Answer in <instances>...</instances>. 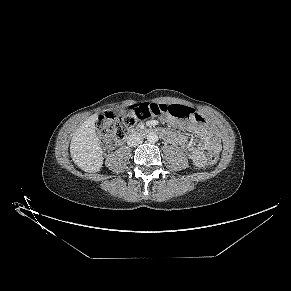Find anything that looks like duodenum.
<instances>
[{"instance_id":"410a0bca","label":"duodenum","mask_w":291,"mask_h":291,"mask_svg":"<svg viewBox=\"0 0 291 291\" xmlns=\"http://www.w3.org/2000/svg\"><path fill=\"white\" fill-rule=\"evenodd\" d=\"M154 130L153 129H149V128H140L136 131V134L138 135H147V134H151L153 133Z\"/></svg>"}]
</instances>
